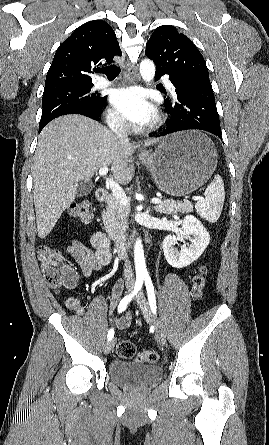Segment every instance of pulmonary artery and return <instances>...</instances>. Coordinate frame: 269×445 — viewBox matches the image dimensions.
<instances>
[{
	"label": "pulmonary artery",
	"instance_id": "pulmonary-artery-1",
	"mask_svg": "<svg viewBox=\"0 0 269 445\" xmlns=\"http://www.w3.org/2000/svg\"><path fill=\"white\" fill-rule=\"evenodd\" d=\"M164 82L168 88L173 89V84L171 83V81L168 78H164ZM111 84H112L111 81H109L105 78H101V79L97 80V82L95 83V87L96 88H105V87L110 86Z\"/></svg>",
	"mask_w": 269,
	"mask_h": 445
}]
</instances>
